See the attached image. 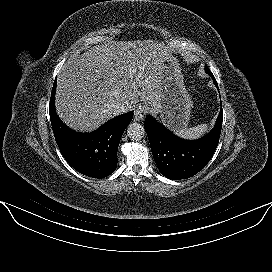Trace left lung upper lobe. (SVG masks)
<instances>
[{
	"mask_svg": "<svg viewBox=\"0 0 272 272\" xmlns=\"http://www.w3.org/2000/svg\"><path fill=\"white\" fill-rule=\"evenodd\" d=\"M205 70H206V72H207L208 74L211 73L210 70H209V68H208L207 66L205 67Z\"/></svg>",
	"mask_w": 272,
	"mask_h": 272,
	"instance_id": "left-lung-upper-lobe-1",
	"label": "left lung upper lobe"
}]
</instances>
